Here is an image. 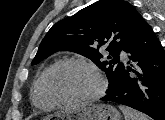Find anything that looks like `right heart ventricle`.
Wrapping results in <instances>:
<instances>
[{
    "label": "right heart ventricle",
    "instance_id": "right-heart-ventricle-1",
    "mask_svg": "<svg viewBox=\"0 0 165 120\" xmlns=\"http://www.w3.org/2000/svg\"><path fill=\"white\" fill-rule=\"evenodd\" d=\"M51 66H47L42 73L39 75L37 80L34 83L33 91H32V99L35 105H37L40 108H52L56 105V102L51 99V97L48 95L45 85H44V79L47 71L49 70Z\"/></svg>",
    "mask_w": 165,
    "mask_h": 120
}]
</instances>
